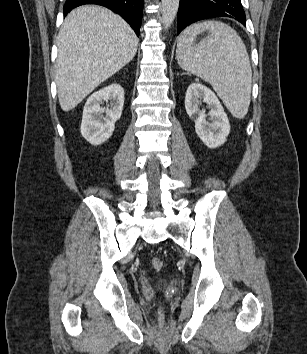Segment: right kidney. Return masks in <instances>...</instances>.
<instances>
[{
  "label": "right kidney",
  "instance_id": "right-kidney-1",
  "mask_svg": "<svg viewBox=\"0 0 307 354\" xmlns=\"http://www.w3.org/2000/svg\"><path fill=\"white\" fill-rule=\"evenodd\" d=\"M108 101L110 107H102ZM123 104L124 90L117 83L93 93L83 109L80 128L82 136L93 145L107 141L114 131L115 122L121 117Z\"/></svg>",
  "mask_w": 307,
  "mask_h": 354
}]
</instances>
